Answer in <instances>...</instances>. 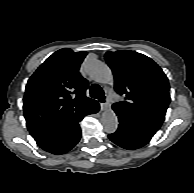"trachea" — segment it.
Returning <instances> with one entry per match:
<instances>
[{"instance_id": "3493384b", "label": "trachea", "mask_w": 194, "mask_h": 193, "mask_svg": "<svg viewBox=\"0 0 194 193\" xmlns=\"http://www.w3.org/2000/svg\"><path fill=\"white\" fill-rule=\"evenodd\" d=\"M90 95L92 98H97L99 99L100 102L104 103L105 102V96H104V91L103 89L97 85L93 84L90 88Z\"/></svg>"}]
</instances>
